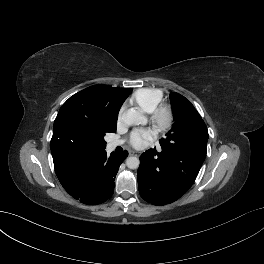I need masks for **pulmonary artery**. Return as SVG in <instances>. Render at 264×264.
Wrapping results in <instances>:
<instances>
[{"label": "pulmonary artery", "instance_id": "e3ab8cb5", "mask_svg": "<svg viewBox=\"0 0 264 264\" xmlns=\"http://www.w3.org/2000/svg\"><path fill=\"white\" fill-rule=\"evenodd\" d=\"M122 144V141H119V140H115V141H111L109 143V148L110 149H114L115 147L119 146Z\"/></svg>", "mask_w": 264, "mask_h": 264}]
</instances>
